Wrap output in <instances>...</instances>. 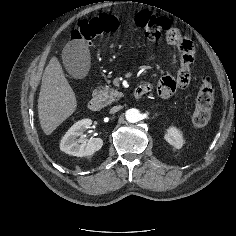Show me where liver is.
Returning <instances> with one entry per match:
<instances>
[{
	"label": "liver",
	"instance_id": "6515ba94",
	"mask_svg": "<svg viewBox=\"0 0 236 236\" xmlns=\"http://www.w3.org/2000/svg\"><path fill=\"white\" fill-rule=\"evenodd\" d=\"M76 108L75 93L59 60L53 56L44 70L38 98V117L43 132L50 135Z\"/></svg>",
	"mask_w": 236,
	"mask_h": 236
}]
</instances>
